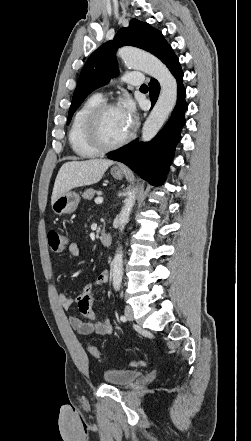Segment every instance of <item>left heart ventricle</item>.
Listing matches in <instances>:
<instances>
[{"label":"left heart ventricle","mask_w":251,"mask_h":441,"mask_svg":"<svg viewBox=\"0 0 251 441\" xmlns=\"http://www.w3.org/2000/svg\"><path fill=\"white\" fill-rule=\"evenodd\" d=\"M130 131L118 108L107 111L100 122V132L106 143L123 139Z\"/></svg>","instance_id":"b2bd125f"}]
</instances>
